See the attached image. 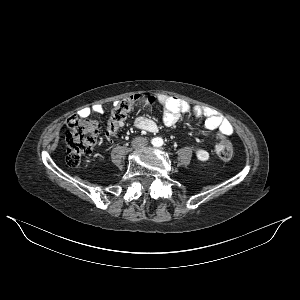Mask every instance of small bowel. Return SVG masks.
Segmentation results:
<instances>
[{
	"label": "small bowel",
	"mask_w": 300,
	"mask_h": 300,
	"mask_svg": "<svg viewBox=\"0 0 300 300\" xmlns=\"http://www.w3.org/2000/svg\"><path fill=\"white\" fill-rule=\"evenodd\" d=\"M158 101L164 106L163 122L168 127L174 126L182 114L189 113L197 118H204L205 128L208 131L217 130L221 137L230 136L234 132L230 121L209 107L194 105L183 99L169 95H160ZM104 113L105 108L102 105L87 107L81 111L82 116H90L93 114L103 115ZM134 125L147 132H156L158 130V126L154 120L142 115L134 119Z\"/></svg>",
	"instance_id": "small-bowel-1"
}]
</instances>
